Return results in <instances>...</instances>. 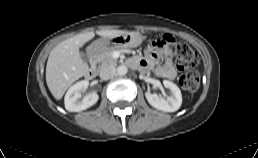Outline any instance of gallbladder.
Returning <instances> with one entry per match:
<instances>
[{"instance_id":"1","label":"gallbladder","mask_w":258,"mask_h":158,"mask_svg":"<svg viewBox=\"0 0 258 158\" xmlns=\"http://www.w3.org/2000/svg\"><path fill=\"white\" fill-rule=\"evenodd\" d=\"M80 55H81V58H82V60H83L84 62H88V56H87L86 53L81 52Z\"/></svg>"}]
</instances>
